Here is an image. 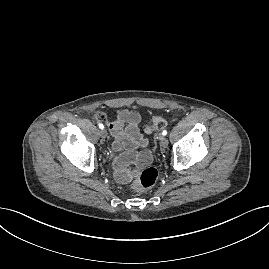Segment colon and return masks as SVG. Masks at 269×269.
<instances>
[{"mask_svg": "<svg viewBox=\"0 0 269 269\" xmlns=\"http://www.w3.org/2000/svg\"><path fill=\"white\" fill-rule=\"evenodd\" d=\"M96 118L98 120L103 121L106 120V116L101 112L96 114ZM166 124L167 122L162 116L156 115L155 117H153L151 124L145 127V131L147 133H152L154 131H158L164 128ZM157 178H158L157 170L153 167H147L141 171L139 177L133 184V187L136 190L149 189L152 186H154V184L157 181Z\"/></svg>", "mask_w": 269, "mask_h": 269, "instance_id": "5ec220e1", "label": "colon"}]
</instances>
